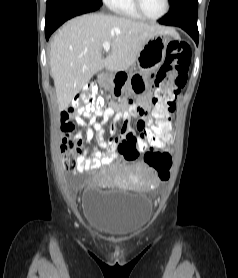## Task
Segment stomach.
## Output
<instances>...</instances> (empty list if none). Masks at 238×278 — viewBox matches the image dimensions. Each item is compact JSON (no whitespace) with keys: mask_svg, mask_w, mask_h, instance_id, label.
<instances>
[{"mask_svg":"<svg viewBox=\"0 0 238 278\" xmlns=\"http://www.w3.org/2000/svg\"><path fill=\"white\" fill-rule=\"evenodd\" d=\"M157 33L150 37L137 57V67L134 69H117L116 73H101L98 76L99 84L114 93V99H123L126 90L142 92L150 90V72L162 65L166 57V50L172 37L177 33Z\"/></svg>","mask_w":238,"mask_h":278,"instance_id":"obj_1","label":"stomach"}]
</instances>
